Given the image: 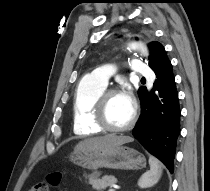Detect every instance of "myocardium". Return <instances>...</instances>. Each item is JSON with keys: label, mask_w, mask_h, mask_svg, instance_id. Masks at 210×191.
Listing matches in <instances>:
<instances>
[{"label": "myocardium", "mask_w": 210, "mask_h": 191, "mask_svg": "<svg viewBox=\"0 0 210 191\" xmlns=\"http://www.w3.org/2000/svg\"><path fill=\"white\" fill-rule=\"evenodd\" d=\"M119 94V91L114 88L103 90L99 96L96 98L93 110H92V121L93 123L102 131L110 133H120L130 130L136 122L137 119V107L133 103L132 105V115L129 122L122 127H112L106 117V106L109 97L112 95Z\"/></svg>", "instance_id": "1"}]
</instances>
